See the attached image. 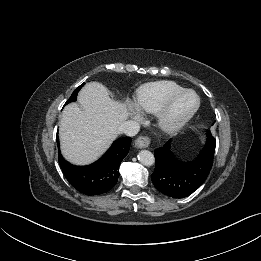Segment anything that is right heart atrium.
<instances>
[{
	"label": "right heart atrium",
	"instance_id": "d8ad5b80",
	"mask_svg": "<svg viewBox=\"0 0 261 261\" xmlns=\"http://www.w3.org/2000/svg\"><path fill=\"white\" fill-rule=\"evenodd\" d=\"M130 108H131V109H132V111H133V112L136 114V116H137V117H139V116H138V114H137V112L135 111V108H134V106H133V105H130Z\"/></svg>",
	"mask_w": 261,
	"mask_h": 261
}]
</instances>
